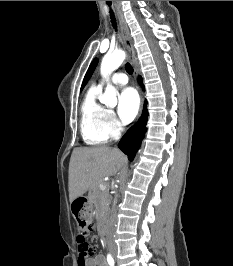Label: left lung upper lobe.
Instances as JSON below:
<instances>
[{"instance_id":"1","label":"left lung upper lobe","mask_w":233,"mask_h":266,"mask_svg":"<svg viewBox=\"0 0 233 266\" xmlns=\"http://www.w3.org/2000/svg\"><path fill=\"white\" fill-rule=\"evenodd\" d=\"M97 63H98V59H94L84 77V80H83V83H82V86H81V91L82 89L84 88V86L86 85V83L88 82V80L90 79V77L92 76L93 74V71L95 69V67L97 66Z\"/></svg>"}]
</instances>
